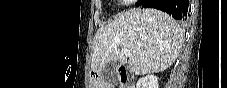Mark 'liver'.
I'll return each mask as SVG.
<instances>
[{
    "label": "liver",
    "instance_id": "liver-1",
    "mask_svg": "<svg viewBox=\"0 0 227 88\" xmlns=\"http://www.w3.org/2000/svg\"><path fill=\"white\" fill-rule=\"evenodd\" d=\"M182 43V28L168 14L152 8L128 9L97 31L91 68L97 71L119 61L136 75L162 72L175 62ZM121 48L128 49L131 56L124 55Z\"/></svg>",
    "mask_w": 227,
    "mask_h": 88
}]
</instances>
